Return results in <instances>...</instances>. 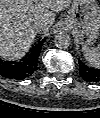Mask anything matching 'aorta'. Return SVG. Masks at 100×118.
Returning a JSON list of instances; mask_svg holds the SVG:
<instances>
[{
    "label": "aorta",
    "instance_id": "aorta-1",
    "mask_svg": "<svg viewBox=\"0 0 100 118\" xmlns=\"http://www.w3.org/2000/svg\"><path fill=\"white\" fill-rule=\"evenodd\" d=\"M71 43L70 36L65 32H59L55 35L54 44L59 49H66Z\"/></svg>",
    "mask_w": 100,
    "mask_h": 118
}]
</instances>
